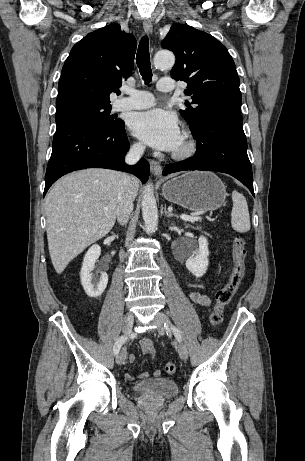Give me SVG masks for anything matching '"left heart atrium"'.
I'll return each mask as SVG.
<instances>
[{
  "label": "left heart atrium",
  "mask_w": 305,
  "mask_h": 461,
  "mask_svg": "<svg viewBox=\"0 0 305 461\" xmlns=\"http://www.w3.org/2000/svg\"><path fill=\"white\" fill-rule=\"evenodd\" d=\"M130 127L136 137L159 150L173 151L182 141L176 115L162 109L135 114L131 119Z\"/></svg>",
  "instance_id": "left-heart-atrium-1"
}]
</instances>
